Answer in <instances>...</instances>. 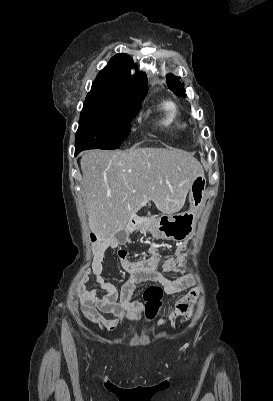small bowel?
<instances>
[{
	"instance_id": "1",
	"label": "small bowel",
	"mask_w": 273,
	"mask_h": 401,
	"mask_svg": "<svg viewBox=\"0 0 273 401\" xmlns=\"http://www.w3.org/2000/svg\"><path fill=\"white\" fill-rule=\"evenodd\" d=\"M117 246V241L100 243L94 252L91 267L87 268L85 276L82 277L88 278L91 273L95 282V286L85 290L83 297H81V302H83L81 307L84 315L94 324L110 332L117 331L120 322L141 321L145 304L141 301H132V296L138 283H159L166 293L172 294L189 287L192 282V277L188 274H184L178 279L170 280L162 273L185 272L186 252L182 246L177 247L173 254L152 256L139 261L129 260L127 251L118 249L116 256L122 269L129 274L128 279L118 289L116 285L107 281L102 275L105 252L109 249H116ZM160 266L162 271L159 270ZM199 295L200 290L192 288L183 298L176 302L174 310L168 317L161 318L156 322V327L162 328L169 323L174 324L189 317ZM102 314H111L114 318L107 319Z\"/></svg>"
}]
</instances>
